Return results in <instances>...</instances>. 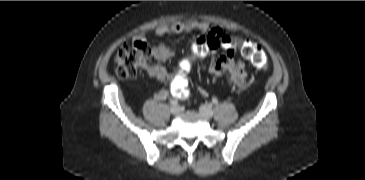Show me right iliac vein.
I'll return each mask as SVG.
<instances>
[{"label": "right iliac vein", "mask_w": 365, "mask_h": 180, "mask_svg": "<svg viewBox=\"0 0 365 180\" xmlns=\"http://www.w3.org/2000/svg\"><path fill=\"white\" fill-rule=\"evenodd\" d=\"M171 114H178L180 112L179 106L175 105L170 108Z\"/></svg>", "instance_id": "1"}]
</instances>
